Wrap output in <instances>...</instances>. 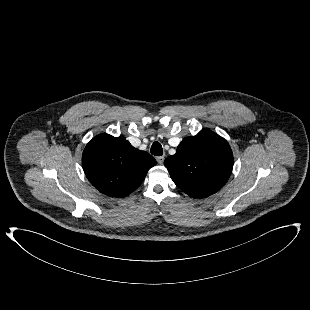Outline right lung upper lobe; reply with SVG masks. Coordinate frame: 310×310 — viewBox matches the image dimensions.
Listing matches in <instances>:
<instances>
[{
	"mask_svg": "<svg viewBox=\"0 0 310 310\" xmlns=\"http://www.w3.org/2000/svg\"><path fill=\"white\" fill-rule=\"evenodd\" d=\"M156 160L134 148L125 137L100 134L85 147L82 165L86 177L101 193L126 197L144 180Z\"/></svg>",
	"mask_w": 310,
	"mask_h": 310,
	"instance_id": "cb5924a9",
	"label": "right lung upper lobe"
}]
</instances>
